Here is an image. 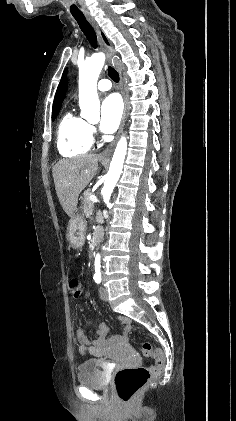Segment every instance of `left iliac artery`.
Returning a JSON list of instances; mask_svg holds the SVG:
<instances>
[{"mask_svg": "<svg viewBox=\"0 0 236 421\" xmlns=\"http://www.w3.org/2000/svg\"><path fill=\"white\" fill-rule=\"evenodd\" d=\"M93 279L95 280V282L97 283V284H99V283H101V273H95L94 274V276H93Z\"/></svg>", "mask_w": 236, "mask_h": 421, "instance_id": "obj_1", "label": "left iliac artery"}]
</instances>
